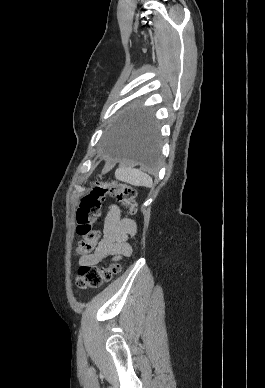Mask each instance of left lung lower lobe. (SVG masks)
Masks as SVG:
<instances>
[{"label": "left lung lower lobe", "mask_w": 265, "mask_h": 388, "mask_svg": "<svg viewBox=\"0 0 265 388\" xmlns=\"http://www.w3.org/2000/svg\"><path fill=\"white\" fill-rule=\"evenodd\" d=\"M159 142L158 128L150 116L133 113L116 124L105 142V148L121 160L155 168Z\"/></svg>", "instance_id": "0a47b994"}]
</instances>
